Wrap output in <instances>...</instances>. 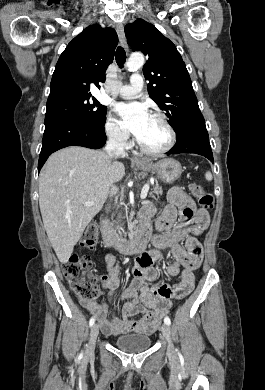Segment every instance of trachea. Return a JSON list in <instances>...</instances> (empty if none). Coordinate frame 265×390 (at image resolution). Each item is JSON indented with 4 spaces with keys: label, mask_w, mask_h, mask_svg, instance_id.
<instances>
[{
    "label": "trachea",
    "mask_w": 265,
    "mask_h": 390,
    "mask_svg": "<svg viewBox=\"0 0 265 390\" xmlns=\"http://www.w3.org/2000/svg\"><path fill=\"white\" fill-rule=\"evenodd\" d=\"M126 61V53L122 47H118L116 51V62L120 68H123Z\"/></svg>",
    "instance_id": "obj_1"
}]
</instances>
